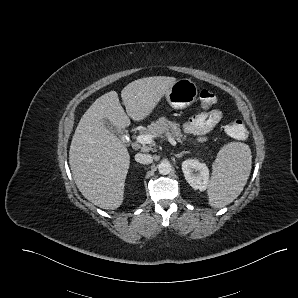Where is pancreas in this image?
<instances>
[{
	"label": "pancreas",
	"instance_id": "obj_1",
	"mask_svg": "<svg viewBox=\"0 0 298 298\" xmlns=\"http://www.w3.org/2000/svg\"><path fill=\"white\" fill-rule=\"evenodd\" d=\"M145 133H151L157 137L171 136L179 143H183L186 139V136L182 134L180 124L170 121L166 117H160L155 122H152Z\"/></svg>",
	"mask_w": 298,
	"mask_h": 298
}]
</instances>
